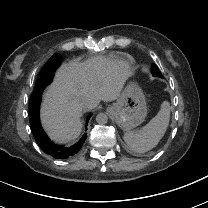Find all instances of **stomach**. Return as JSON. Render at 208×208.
I'll return each instance as SVG.
<instances>
[{
    "label": "stomach",
    "instance_id": "1",
    "mask_svg": "<svg viewBox=\"0 0 208 208\" xmlns=\"http://www.w3.org/2000/svg\"><path fill=\"white\" fill-rule=\"evenodd\" d=\"M108 112L124 131L129 132L140 125L147 115L142 89L134 82L129 83Z\"/></svg>",
    "mask_w": 208,
    "mask_h": 208
}]
</instances>
